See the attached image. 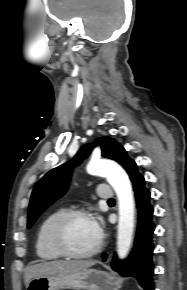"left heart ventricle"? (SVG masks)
<instances>
[{
	"label": "left heart ventricle",
	"instance_id": "left-heart-ventricle-1",
	"mask_svg": "<svg viewBox=\"0 0 187 290\" xmlns=\"http://www.w3.org/2000/svg\"><path fill=\"white\" fill-rule=\"evenodd\" d=\"M66 240L74 251L85 252L96 245L99 234L95 230L91 218L78 217L69 223L66 230Z\"/></svg>",
	"mask_w": 187,
	"mask_h": 290
}]
</instances>
